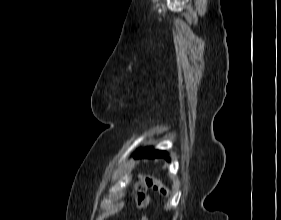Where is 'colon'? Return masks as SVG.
Returning a JSON list of instances; mask_svg holds the SVG:
<instances>
[{
    "mask_svg": "<svg viewBox=\"0 0 281 220\" xmlns=\"http://www.w3.org/2000/svg\"><path fill=\"white\" fill-rule=\"evenodd\" d=\"M152 186L159 194L168 195L167 189L159 182L149 176H141L134 186L136 206L143 212L141 220H148L145 210L149 203V197L146 193L147 187Z\"/></svg>",
    "mask_w": 281,
    "mask_h": 220,
    "instance_id": "1",
    "label": "colon"
}]
</instances>
